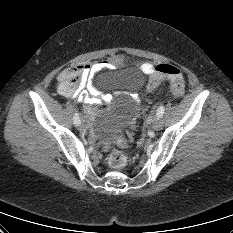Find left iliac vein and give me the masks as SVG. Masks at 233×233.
Here are the masks:
<instances>
[{
  "mask_svg": "<svg viewBox=\"0 0 233 233\" xmlns=\"http://www.w3.org/2000/svg\"><path fill=\"white\" fill-rule=\"evenodd\" d=\"M162 127H163V121H162L161 117H155L153 119V122H152V128L155 131H159L162 129Z\"/></svg>",
  "mask_w": 233,
  "mask_h": 233,
  "instance_id": "1",
  "label": "left iliac vein"
}]
</instances>
